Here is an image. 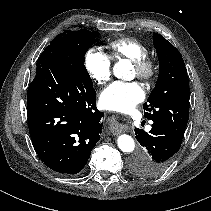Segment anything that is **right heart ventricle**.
Wrapping results in <instances>:
<instances>
[{
  "instance_id": "right-heart-ventricle-1",
  "label": "right heart ventricle",
  "mask_w": 211,
  "mask_h": 211,
  "mask_svg": "<svg viewBox=\"0 0 211 211\" xmlns=\"http://www.w3.org/2000/svg\"><path fill=\"white\" fill-rule=\"evenodd\" d=\"M108 48L114 58H127L134 61L147 55L146 47L138 40L129 37L111 41Z\"/></svg>"
}]
</instances>
